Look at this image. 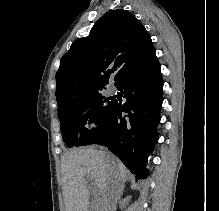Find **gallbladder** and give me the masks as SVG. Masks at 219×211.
<instances>
[{
  "mask_svg": "<svg viewBox=\"0 0 219 211\" xmlns=\"http://www.w3.org/2000/svg\"><path fill=\"white\" fill-rule=\"evenodd\" d=\"M89 211H96V205H91V207H89Z\"/></svg>",
  "mask_w": 219,
  "mask_h": 211,
  "instance_id": "bac80fb5",
  "label": "gallbladder"
}]
</instances>
